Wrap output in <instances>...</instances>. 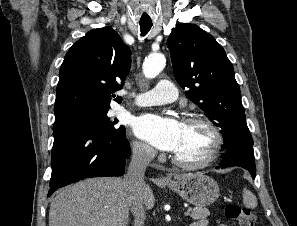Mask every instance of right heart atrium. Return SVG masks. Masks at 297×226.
I'll return each instance as SVG.
<instances>
[{"mask_svg":"<svg viewBox=\"0 0 297 226\" xmlns=\"http://www.w3.org/2000/svg\"><path fill=\"white\" fill-rule=\"evenodd\" d=\"M132 152L136 159L145 162L149 161L154 154V151L150 146L140 141L133 142Z\"/></svg>","mask_w":297,"mask_h":226,"instance_id":"d8ad5b80","label":"right heart atrium"}]
</instances>
